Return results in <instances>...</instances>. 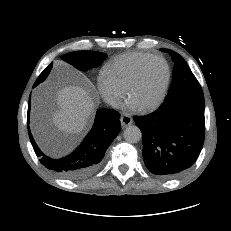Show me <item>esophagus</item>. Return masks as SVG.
<instances>
[{"mask_svg": "<svg viewBox=\"0 0 231 231\" xmlns=\"http://www.w3.org/2000/svg\"><path fill=\"white\" fill-rule=\"evenodd\" d=\"M120 121H121L122 127H127L130 124H132L133 119H132V117L130 115L124 114V115L121 116Z\"/></svg>", "mask_w": 231, "mask_h": 231, "instance_id": "obj_1", "label": "esophagus"}]
</instances>
